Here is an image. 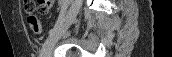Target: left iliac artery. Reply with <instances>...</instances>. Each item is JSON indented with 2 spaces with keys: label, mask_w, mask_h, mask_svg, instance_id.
<instances>
[{
  "label": "left iliac artery",
  "mask_w": 172,
  "mask_h": 57,
  "mask_svg": "<svg viewBox=\"0 0 172 57\" xmlns=\"http://www.w3.org/2000/svg\"><path fill=\"white\" fill-rule=\"evenodd\" d=\"M62 21H63V15H60L58 17V20H57V22H56V24H55V26L53 28H55L56 26L60 25L62 23ZM52 30L53 29H50L49 34L52 32Z\"/></svg>",
  "instance_id": "44dca946"
}]
</instances>
